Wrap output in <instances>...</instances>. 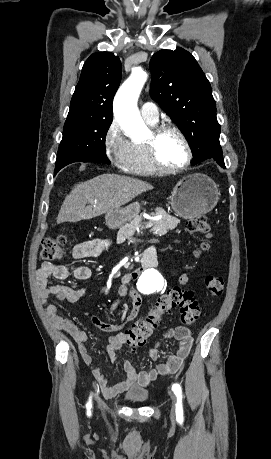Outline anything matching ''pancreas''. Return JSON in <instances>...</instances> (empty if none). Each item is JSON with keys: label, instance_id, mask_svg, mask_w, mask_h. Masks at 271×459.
Listing matches in <instances>:
<instances>
[{"label": "pancreas", "instance_id": "cf45deb5", "mask_svg": "<svg viewBox=\"0 0 271 459\" xmlns=\"http://www.w3.org/2000/svg\"><path fill=\"white\" fill-rule=\"evenodd\" d=\"M161 214V220L153 219L151 221L153 224L152 231H154V233H158V235H163V233H167V231L173 232L175 227L178 225V222L175 219H172V216H169V214H165V212H161ZM154 216H159V214H154ZM138 226L139 222H131V224L122 226V228H120L118 231L117 239L123 241V239L131 237V235H134V229L138 228Z\"/></svg>", "mask_w": 271, "mask_h": 459}]
</instances>
